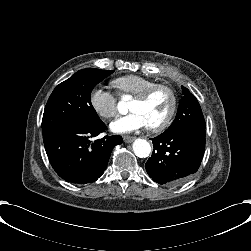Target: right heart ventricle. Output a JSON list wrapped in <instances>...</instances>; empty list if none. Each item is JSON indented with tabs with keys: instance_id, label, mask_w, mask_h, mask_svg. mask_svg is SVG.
Instances as JSON below:
<instances>
[{
	"instance_id": "right-heart-ventricle-1",
	"label": "right heart ventricle",
	"mask_w": 251,
	"mask_h": 251,
	"mask_svg": "<svg viewBox=\"0 0 251 251\" xmlns=\"http://www.w3.org/2000/svg\"><path fill=\"white\" fill-rule=\"evenodd\" d=\"M155 81L149 77L137 74H129L118 77L112 81V85L116 87L122 95L138 96L145 91Z\"/></svg>"
}]
</instances>
